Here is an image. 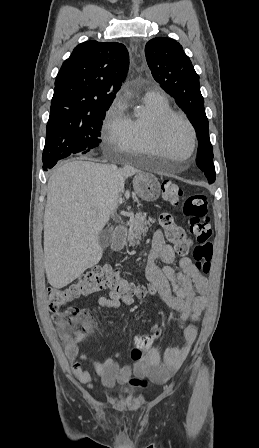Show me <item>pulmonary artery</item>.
I'll return each mask as SVG.
<instances>
[{
  "label": "pulmonary artery",
  "instance_id": "obj_1",
  "mask_svg": "<svg viewBox=\"0 0 259 448\" xmlns=\"http://www.w3.org/2000/svg\"><path fill=\"white\" fill-rule=\"evenodd\" d=\"M155 92H157V93H163L160 89H155Z\"/></svg>",
  "mask_w": 259,
  "mask_h": 448
}]
</instances>
